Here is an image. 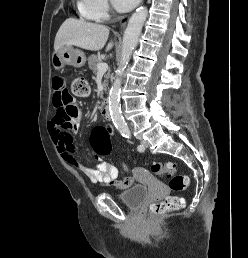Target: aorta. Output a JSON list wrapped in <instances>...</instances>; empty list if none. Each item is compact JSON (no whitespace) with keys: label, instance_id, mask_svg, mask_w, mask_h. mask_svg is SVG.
<instances>
[{"label":"aorta","instance_id":"762f6f07","mask_svg":"<svg viewBox=\"0 0 248 258\" xmlns=\"http://www.w3.org/2000/svg\"><path fill=\"white\" fill-rule=\"evenodd\" d=\"M148 16L146 7H140L131 16L123 36V47L119 66L116 70L113 85L109 91V111L115 127L120 133L128 134V126L121 113L120 92L124 70L131 58L132 51L138 44L142 27Z\"/></svg>","mask_w":248,"mask_h":258}]
</instances>
